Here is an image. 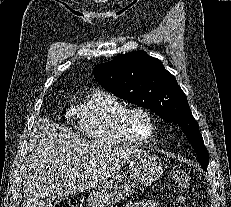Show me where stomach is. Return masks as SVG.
<instances>
[{"label": "stomach", "mask_w": 231, "mask_h": 207, "mask_svg": "<svg viewBox=\"0 0 231 207\" xmlns=\"http://www.w3.org/2000/svg\"><path fill=\"white\" fill-rule=\"evenodd\" d=\"M129 173L138 184L148 186L155 182L163 173L161 159L146 151H140L129 160ZM131 192L130 180L121 174H116L107 180L101 191L89 195L90 207H111L124 200Z\"/></svg>", "instance_id": "1"}]
</instances>
